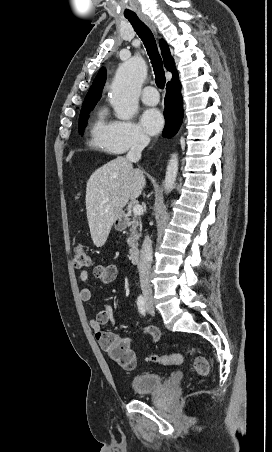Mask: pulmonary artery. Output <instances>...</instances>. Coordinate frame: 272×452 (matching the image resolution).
I'll list each match as a JSON object with an SVG mask.
<instances>
[{"instance_id": "e3ab8cb5", "label": "pulmonary artery", "mask_w": 272, "mask_h": 452, "mask_svg": "<svg viewBox=\"0 0 272 452\" xmlns=\"http://www.w3.org/2000/svg\"><path fill=\"white\" fill-rule=\"evenodd\" d=\"M141 100L146 105H156L159 102V95L153 86H146L143 89Z\"/></svg>"}]
</instances>
